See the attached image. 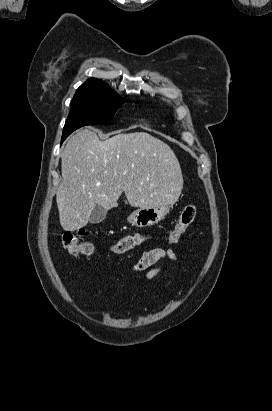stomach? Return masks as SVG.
<instances>
[{"instance_id": "1", "label": "stomach", "mask_w": 272, "mask_h": 411, "mask_svg": "<svg viewBox=\"0 0 272 411\" xmlns=\"http://www.w3.org/2000/svg\"><path fill=\"white\" fill-rule=\"evenodd\" d=\"M171 206L162 205L151 208H140L132 212L127 221L139 228L149 227L162 221L169 213Z\"/></svg>"}]
</instances>
